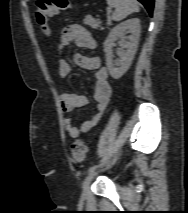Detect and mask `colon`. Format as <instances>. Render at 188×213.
<instances>
[{"label": "colon", "instance_id": "obj_1", "mask_svg": "<svg viewBox=\"0 0 188 213\" xmlns=\"http://www.w3.org/2000/svg\"><path fill=\"white\" fill-rule=\"evenodd\" d=\"M71 7L70 0H37L35 7L36 20L41 27L44 34H49V21L52 16L59 11L67 10ZM87 154V145L82 140H77L72 143L71 155L72 158L81 162L85 159Z\"/></svg>", "mask_w": 188, "mask_h": 213}]
</instances>
